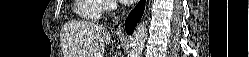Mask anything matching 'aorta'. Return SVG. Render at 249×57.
I'll return each mask as SVG.
<instances>
[{
    "mask_svg": "<svg viewBox=\"0 0 249 57\" xmlns=\"http://www.w3.org/2000/svg\"><path fill=\"white\" fill-rule=\"evenodd\" d=\"M147 39V27L145 22L137 25L130 38V50L128 57H141Z\"/></svg>",
    "mask_w": 249,
    "mask_h": 57,
    "instance_id": "1",
    "label": "aorta"
}]
</instances>
